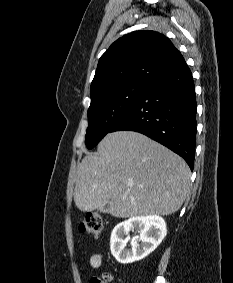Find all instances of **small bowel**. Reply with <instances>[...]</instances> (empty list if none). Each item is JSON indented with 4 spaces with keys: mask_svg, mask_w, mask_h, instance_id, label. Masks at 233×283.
<instances>
[{
    "mask_svg": "<svg viewBox=\"0 0 233 283\" xmlns=\"http://www.w3.org/2000/svg\"><path fill=\"white\" fill-rule=\"evenodd\" d=\"M102 263V256L101 254H94L91 256L90 258V265L93 268H99L101 266Z\"/></svg>",
    "mask_w": 233,
    "mask_h": 283,
    "instance_id": "c3829d8e",
    "label": "small bowel"
}]
</instances>
